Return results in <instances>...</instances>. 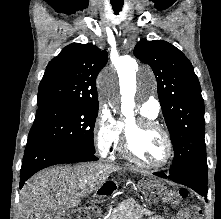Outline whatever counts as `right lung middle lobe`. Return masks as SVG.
<instances>
[{"label":"right lung middle lobe","mask_w":221,"mask_h":219,"mask_svg":"<svg viewBox=\"0 0 221 219\" xmlns=\"http://www.w3.org/2000/svg\"><path fill=\"white\" fill-rule=\"evenodd\" d=\"M99 104L45 102L38 110L28 140L43 138L95 154L93 130Z\"/></svg>","instance_id":"right-lung-middle-lobe-1"}]
</instances>
